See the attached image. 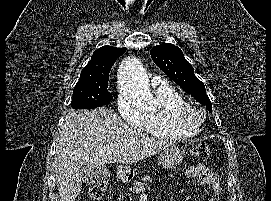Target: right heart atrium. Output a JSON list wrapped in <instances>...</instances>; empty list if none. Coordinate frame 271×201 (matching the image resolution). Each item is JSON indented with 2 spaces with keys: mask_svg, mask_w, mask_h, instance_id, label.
<instances>
[{
  "mask_svg": "<svg viewBox=\"0 0 271 201\" xmlns=\"http://www.w3.org/2000/svg\"><path fill=\"white\" fill-rule=\"evenodd\" d=\"M117 108L121 115L131 124L143 127L145 123V113L139 111L124 95L117 96Z\"/></svg>",
  "mask_w": 271,
  "mask_h": 201,
  "instance_id": "1",
  "label": "right heart atrium"
}]
</instances>
